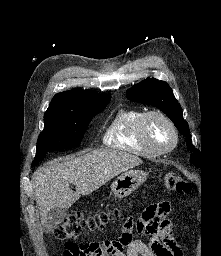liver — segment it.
Segmentation results:
<instances>
[{"instance_id": "liver-1", "label": "liver", "mask_w": 221, "mask_h": 256, "mask_svg": "<svg viewBox=\"0 0 221 256\" xmlns=\"http://www.w3.org/2000/svg\"><path fill=\"white\" fill-rule=\"evenodd\" d=\"M140 164L142 160L135 155L100 149L40 167L32 180L41 224L46 223L50 210L68 209L81 195L91 194L118 174ZM70 183L75 185L76 191L70 189Z\"/></svg>"}]
</instances>
